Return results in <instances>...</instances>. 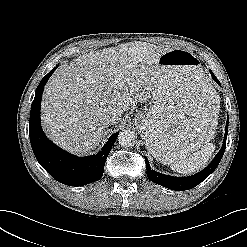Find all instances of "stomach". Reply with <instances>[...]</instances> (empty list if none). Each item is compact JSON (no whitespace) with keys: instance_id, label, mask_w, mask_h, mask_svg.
I'll list each match as a JSON object with an SVG mask.
<instances>
[{"instance_id":"1","label":"stomach","mask_w":247,"mask_h":247,"mask_svg":"<svg viewBox=\"0 0 247 247\" xmlns=\"http://www.w3.org/2000/svg\"><path fill=\"white\" fill-rule=\"evenodd\" d=\"M162 82L154 89L147 112L135 125L148 151L161 163L184 160L213 137L219 112L216 91L198 57L171 49L157 63Z\"/></svg>"}]
</instances>
